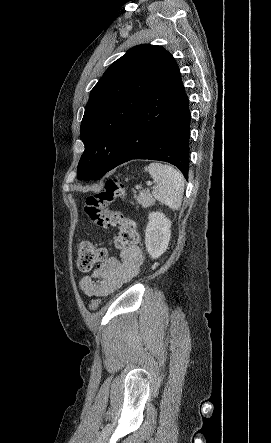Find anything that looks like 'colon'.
I'll use <instances>...</instances> for the list:
<instances>
[{"instance_id": "1", "label": "colon", "mask_w": 271, "mask_h": 443, "mask_svg": "<svg viewBox=\"0 0 271 443\" xmlns=\"http://www.w3.org/2000/svg\"><path fill=\"white\" fill-rule=\"evenodd\" d=\"M123 185L117 178L106 180L102 190L88 196L84 204V212L89 221L100 228L115 227L118 230L115 244L118 248H125L138 242L136 222L122 211L110 210V205L122 195ZM77 266L79 270L87 272L103 260L104 250L96 243L88 240H79L76 243ZM101 304L100 299H93L89 308L96 311Z\"/></svg>"}]
</instances>
